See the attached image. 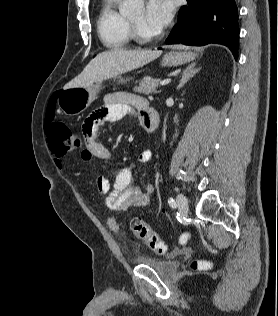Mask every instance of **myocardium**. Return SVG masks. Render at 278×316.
Here are the masks:
<instances>
[{
  "mask_svg": "<svg viewBox=\"0 0 278 316\" xmlns=\"http://www.w3.org/2000/svg\"><path fill=\"white\" fill-rule=\"evenodd\" d=\"M128 23L132 38L139 43H150L161 37V32H156L154 34L144 33L140 26H138L131 19H128Z\"/></svg>",
  "mask_w": 278,
  "mask_h": 316,
  "instance_id": "obj_1",
  "label": "myocardium"
}]
</instances>
